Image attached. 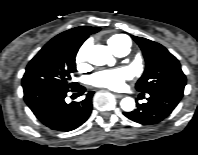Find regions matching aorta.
Listing matches in <instances>:
<instances>
[{"instance_id": "1", "label": "aorta", "mask_w": 198, "mask_h": 155, "mask_svg": "<svg viewBox=\"0 0 198 155\" xmlns=\"http://www.w3.org/2000/svg\"><path fill=\"white\" fill-rule=\"evenodd\" d=\"M88 61L96 66L114 62L110 50L104 45H93L88 51ZM120 106L125 112H131L135 108V100L131 97H125L121 100Z\"/></svg>"}]
</instances>
